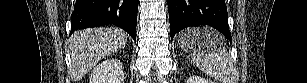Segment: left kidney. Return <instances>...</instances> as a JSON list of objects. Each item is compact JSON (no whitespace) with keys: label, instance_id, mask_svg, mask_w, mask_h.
I'll return each mask as SVG.
<instances>
[{"label":"left kidney","instance_id":"1","mask_svg":"<svg viewBox=\"0 0 307 83\" xmlns=\"http://www.w3.org/2000/svg\"><path fill=\"white\" fill-rule=\"evenodd\" d=\"M187 83H212L210 80H207L200 76H189Z\"/></svg>","mask_w":307,"mask_h":83}]
</instances>
